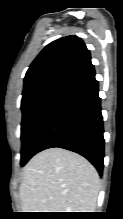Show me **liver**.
Returning a JSON list of instances; mask_svg holds the SVG:
<instances>
[{
    "instance_id": "1",
    "label": "liver",
    "mask_w": 123,
    "mask_h": 219,
    "mask_svg": "<svg viewBox=\"0 0 123 219\" xmlns=\"http://www.w3.org/2000/svg\"><path fill=\"white\" fill-rule=\"evenodd\" d=\"M100 179L81 155L62 148L46 149L23 169V212H95Z\"/></svg>"
}]
</instances>
